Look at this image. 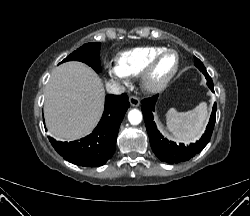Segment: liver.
<instances>
[{
	"label": "liver",
	"mask_w": 250,
	"mask_h": 216,
	"mask_svg": "<svg viewBox=\"0 0 250 216\" xmlns=\"http://www.w3.org/2000/svg\"><path fill=\"white\" fill-rule=\"evenodd\" d=\"M101 79L87 65L70 61L55 68L45 90L44 116L48 131L71 141L89 134L104 107Z\"/></svg>",
	"instance_id": "1"
}]
</instances>
